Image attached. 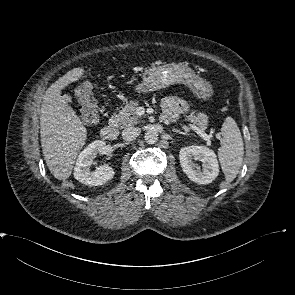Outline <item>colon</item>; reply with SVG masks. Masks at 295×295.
I'll use <instances>...</instances> for the list:
<instances>
[{"mask_svg": "<svg viewBox=\"0 0 295 295\" xmlns=\"http://www.w3.org/2000/svg\"><path fill=\"white\" fill-rule=\"evenodd\" d=\"M86 98L87 103L82 112V119L86 125L92 126L97 122L98 113L91 89H88Z\"/></svg>", "mask_w": 295, "mask_h": 295, "instance_id": "obj_1", "label": "colon"}]
</instances>
